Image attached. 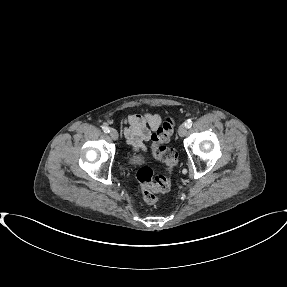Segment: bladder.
Wrapping results in <instances>:
<instances>
[{
  "instance_id": "obj_1",
  "label": "bladder",
  "mask_w": 287,
  "mask_h": 287,
  "mask_svg": "<svg viewBox=\"0 0 287 287\" xmlns=\"http://www.w3.org/2000/svg\"><path fill=\"white\" fill-rule=\"evenodd\" d=\"M140 163H141V161H140L139 159H134V160L131 161V165H132V166H137V165H139Z\"/></svg>"
}]
</instances>
